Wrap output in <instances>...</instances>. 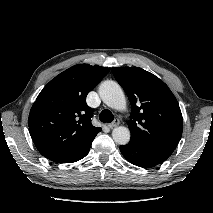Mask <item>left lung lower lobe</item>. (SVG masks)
<instances>
[{
  "instance_id": "left-lung-lower-lobe-1",
  "label": "left lung lower lobe",
  "mask_w": 213,
  "mask_h": 213,
  "mask_svg": "<svg viewBox=\"0 0 213 213\" xmlns=\"http://www.w3.org/2000/svg\"><path fill=\"white\" fill-rule=\"evenodd\" d=\"M120 151L130 163L145 168L158 165L169 157L166 154L143 148L131 141L126 145L120 146Z\"/></svg>"
}]
</instances>
